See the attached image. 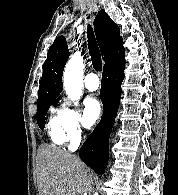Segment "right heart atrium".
Masks as SVG:
<instances>
[{
	"label": "right heart atrium",
	"instance_id": "obj_1",
	"mask_svg": "<svg viewBox=\"0 0 178 195\" xmlns=\"http://www.w3.org/2000/svg\"><path fill=\"white\" fill-rule=\"evenodd\" d=\"M62 127L66 139L71 144L81 142L85 136L80 114L73 108L65 106L61 111Z\"/></svg>",
	"mask_w": 178,
	"mask_h": 195
}]
</instances>
